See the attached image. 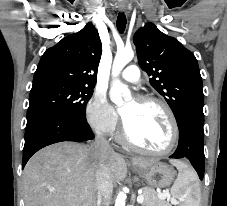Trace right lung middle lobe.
Segmentation results:
<instances>
[{
    "label": "right lung middle lobe",
    "mask_w": 227,
    "mask_h": 206,
    "mask_svg": "<svg viewBox=\"0 0 227 206\" xmlns=\"http://www.w3.org/2000/svg\"><path fill=\"white\" fill-rule=\"evenodd\" d=\"M93 88L50 80L33 83L27 118L49 112L84 119L86 104L93 94Z\"/></svg>",
    "instance_id": "dd1d6c3e"
}]
</instances>
